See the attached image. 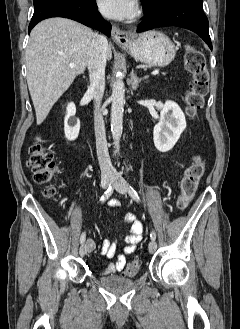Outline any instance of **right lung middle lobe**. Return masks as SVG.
<instances>
[{
    "mask_svg": "<svg viewBox=\"0 0 240 329\" xmlns=\"http://www.w3.org/2000/svg\"><path fill=\"white\" fill-rule=\"evenodd\" d=\"M72 1L82 2V1H86V0H72Z\"/></svg>",
    "mask_w": 240,
    "mask_h": 329,
    "instance_id": "right-lung-middle-lobe-1",
    "label": "right lung middle lobe"
}]
</instances>
